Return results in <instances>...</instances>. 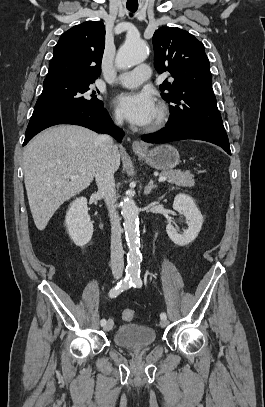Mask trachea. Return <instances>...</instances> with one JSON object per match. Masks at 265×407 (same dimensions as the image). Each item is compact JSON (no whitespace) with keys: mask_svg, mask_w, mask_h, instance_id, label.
Returning a JSON list of instances; mask_svg holds the SVG:
<instances>
[{"mask_svg":"<svg viewBox=\"0 0 265 407\" xmlns=\"http://www.w3.org/2000/svg\"><path fill=\"white\" fill-rule=\"evenodd\" d=\"M127 9L131 12V13H135L137 11V7H127Z\"/></svg>","mask_w":265,"mask_h":407,"instance_id":"3493384b","label":"trachea"}]
</instances>
